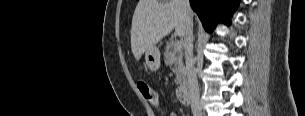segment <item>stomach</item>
I'll return each mask as SVG.
<instances>
[{
  "instance_id": "stomach-1",
  "label": "stomach",
  "mask_w": 305,
  "mask_h": 116,
  "mask_svg": "<svg viewBox=\"0 0 305 116\" xmlns=\"http://www.w3.org/2000/svg\"><path fill=\"white\" fill-rule=\"evenodd\" d=\"M160 50L156 45H153L152 47L148 48L145 51V61L147 67L152 70L156 71L160 67Z\"/></svg>"
}]
</instances>
